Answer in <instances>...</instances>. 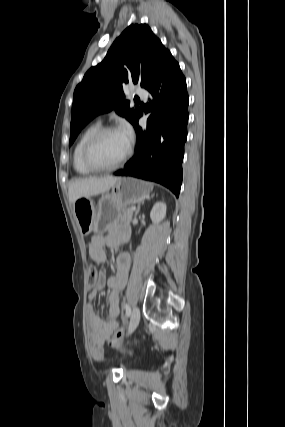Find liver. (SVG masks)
<instances>
[{"instance_id": "1", "label": "liver", "mask_w": 285, "mask_h": 427, "mask_svg": "<svg viewBox=\"0 0 285 427\" xmlns=\"http://www.w3.org/2000/svg\"><path fill=\"white\" fill-rule=\"evenodd\" d=\"M119 180L118 177H89L73 180L69 184V201L74 204L80 198H90L91 196L108 191Z\"/></svg>"}]
</instances>
